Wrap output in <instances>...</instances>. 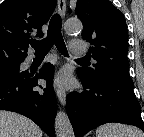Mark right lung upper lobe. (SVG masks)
<instances>
[{"mask_svg": "<svg viewBox=\"0 0 144 137\" xmlns=\"http://www.w3.org/2000/svg\"><path fill=\"white\" fill-rule=\"evenodd\" d=\"M56 0H5L0 5V71L20 64L27 56L29 37H42Z\"/></svg>", "mask_w": 144, "mask_h": 137, "instance_id": "obj_1", "label": "right lung upper lobe"}]
</instances>
